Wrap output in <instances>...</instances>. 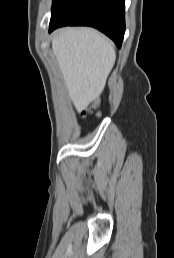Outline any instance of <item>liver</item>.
Returning a JSON list of instances; mask_svg holds the SVG:
<instances>
[{
  "mask_svg": "<svg viewBox=\"0 0 174 258\" xmlns=\"http://www.w3.org/2000/svg\"><path fill=\"white\" fill-rule=\"evenodd\" d=\"M52 49L75 108H85L100 96L114 66L112 43L93 28L66 27L55 32Z\"/></svg>",
  "mask_w": 174,
  "mask_h": 258,
  "instance_id": "obj_1",
  "label": "liver"
}]
</instances>
